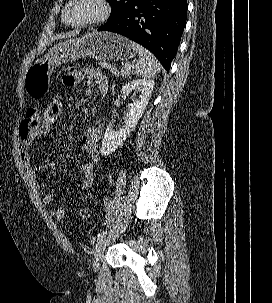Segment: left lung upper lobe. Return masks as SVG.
I'll return each mask as SVG.
<instances>
[{
    "label": "left lung upper lobe",
    "mask_w": 272,
    "mask_h": 303,
    "mask_svg": "<svg viewBox=\"0 0 272 303\" xmlns=\"http://www.w3.org/2000/svg\"><path fill=\"white\" fill-rule=\"evenodd\" d=\"M109 1L111 6L113 7V10L108 21L123 15L138 0H109Z\"/></svg>",
    "instance_id": "1"
}]
</instances>
